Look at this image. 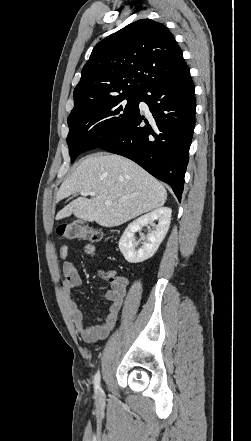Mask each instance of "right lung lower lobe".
<instances>
[{
    "label": "right lung lower lobe",
    "mask_w": 251,
    "mask_h": 441,
    "mask_svg": "<svg viewBox=\"0 0 251 441\" xmlns=\"http://www.w3.org/2000/svg\"><path fill=\"white\" fill-rule=\"evenodd\" d=\"M140 101L149 106L152 118L147 120L138 108L126 126L99 148L133 160L168 183L181 201L196 109L188 66L152 83L140 94Z\"/></svg>",
    "instance_id": "obj_1"
}]
</instances>
